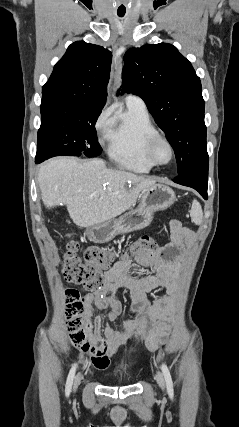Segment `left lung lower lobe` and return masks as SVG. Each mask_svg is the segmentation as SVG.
I'll list each match as a JSON object with an SVG mask.
<instances>
[{
	"instance_id": "obj_1",
	"label": "left lung lower lobe",
	"mask_w": 239,
	"mask_h": 427,
	"mask_svg": "<svg viewBox=\"0 0 239 427\" xmlns=\"http://www.w3.org/2000/svg\"><path fill=\"white\" fill-rule=\"evenodd\" d=\"M173 181L175 183L194 188L204 199H207L208 159L197 163L186 173L175 177Z\"/></svg>"
}]
</instances>
